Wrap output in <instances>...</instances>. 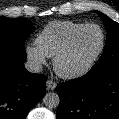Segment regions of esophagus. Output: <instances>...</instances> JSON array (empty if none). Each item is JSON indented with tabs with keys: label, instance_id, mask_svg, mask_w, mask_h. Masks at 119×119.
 Returning a JSON list of instances; mask_svg holds the SVG:
<instances>
[{
	"label": "esophagus",
	"instance_id": "obj_1",
	"mask_svg": "<svg viewBox=\"0 0 119 119\" xmlns=\"http://www.w3.org/2000/svg\"><path fill=\"white\" fill-rule=\"evenodd\" d=\"M46 86L49 90H54L57 86V83L55 81L49 79L46 82Z\"/></svg>",
	"mask_w": 119,
	"mask_h": 119
}]
</instances>
